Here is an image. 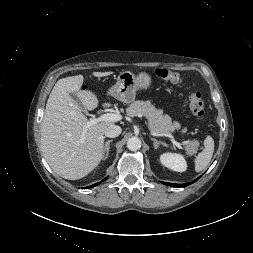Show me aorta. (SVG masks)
I'll use <instances>...</instances> for the list:
<instances>
[{
	"label": "aorta",
	"instance_id": "aorta-1",
	"mask_svg": "<svg viewBox=\"0 0 253 253\" xmlns=\"http://www.w3.org/2000/svg\"><path fill=\"white\" fill-rule=\"evenodd\" d=\"M141 147V140L138 137H131L127 141V148L131 151H137Z\"/></svg>",
	"mask_w": 253,
	"mask_h": 253
}]
</instances>
